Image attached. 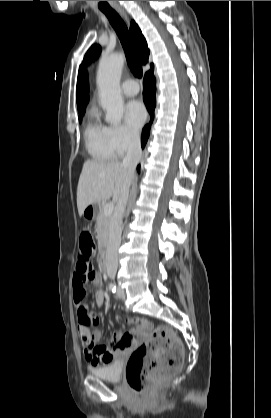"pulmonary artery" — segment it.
I'll return each mask as SVG.
<instances>
[{"label": "pulmonary artery", "mask_w": 271, "mask_h": 418, "mask_svg": "<svg viewBox=\"0 0 271 418\" xmlns=\"http://www.w3.org/2000/svg\"><path fill=\"white\" fill-rule=\"evenodd\" d=\"M122 91L126 96H135L139 92V86L136 81L128 79L122 83Z\"/></svg>", "instance_id": "1"}]
</instances>
